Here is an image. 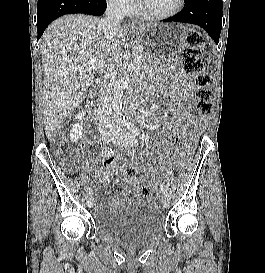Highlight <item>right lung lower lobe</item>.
Returning a JSON list of instances; mask_svg holds the SVG:
<instances>
[{"label": "right lung lower lobe", "mask_w": 265, "mask_h": 273, "mask_svg": "<svg viewBox=\"0 0 265 273\" xmlns=\"http://www.w3.org/2000/svg\"><path fill=\"white\" fill-rule=\"evenodd\" d=\"M106 7V0H38V40L46 27L62 15L84 13L100 16L104 14Z\"/></svg>", "instance_id": "98d812e1"}]
</instances>
